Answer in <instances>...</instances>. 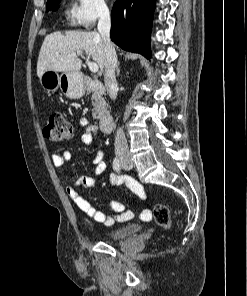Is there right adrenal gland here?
Here are the masks:
<instances>
[{"label":"right adrenal gland","instance_id":"obj_1","mask_svg":"<svg viewBox=\"0 0 247 296\" xmlns=\"http://www.w3.org/2000/svg\"><path fill=\"white\" fill-rule=\"evenodd\" d=\"M116 72H117V76H119V74H120L119 62L117 63Z\"/></svg>","mask_w":247,"mask_h":296}]
</instances>
